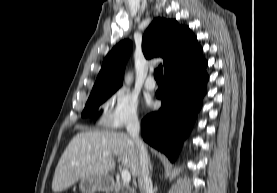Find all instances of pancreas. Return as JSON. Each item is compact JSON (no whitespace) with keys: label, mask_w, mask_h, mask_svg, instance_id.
<instances>
[{"label":"pancreas","mask_w":277,"mask_h":193,"mask_svg":"<svg viewBox=\"0 0 277 193\" xmlns=\"http://www.w3.org/2000/svg\"><path fill=\"white\" fill-rule=\"evenodd\" d=\"M114 190L116 191V193H136V190L134 188H131L127 184L121 182H116L114 184Z\"/></svg>","instance_id":"pancreas-1"}]
</instances>
